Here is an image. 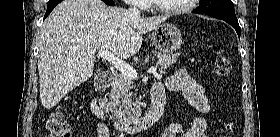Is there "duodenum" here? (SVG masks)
<instances>
[{
    "label": "duodenum",
    "mask_w": 280,
    "mask_h": 137,
    "mask_svg": "<svg viewBox=\"0 0 280 137\" xmlns=\"http://www.w3.org/2000/svg\"><path fill=\"white\" fill-rule=\"evenodd\" d=\"M116 76L114 73L107 74L97 85V95L90 101V109L93 116L99 120H106V112L103 105V90L114 85ZM165 102L164 87L162 84L156 83L151 87V107L150 110L143 116L133 120L115 123L116 130L125 133L139 132L154 126L160 119L163 113Z\"/></svg>",
    "instance_id": "obj_1"
}]
</instances>
